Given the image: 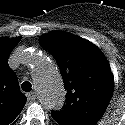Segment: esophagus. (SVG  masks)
I'll return each mask as SVG.
<instances>
[{"label":"esophagus","mask_w":125,"mask_h":125,"mask_svg":"<svg viewBox=\"0 0 125 125\" xmlns=\"http://www.w3.org/2000/svg\"><path fill=\"white\" fill-rule=\"evenodd\" d=\"M28 100H35L36 99V93L35 92H29L26 94Z\"/></svg>","instance_id":"obj_1"}]
</instances>
